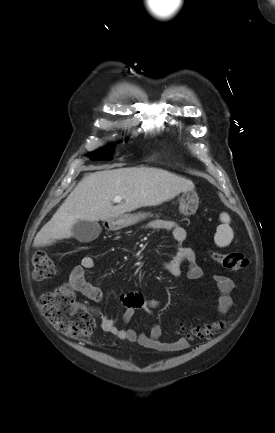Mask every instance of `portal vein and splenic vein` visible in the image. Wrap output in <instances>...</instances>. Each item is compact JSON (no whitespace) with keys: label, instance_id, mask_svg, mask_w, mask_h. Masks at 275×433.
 <instances>
[{"label":"portal vein and splenic vein","instance_id":"obj_1","mask_svg":"<svg viewBox=\"0 0 275 433\" xmlns=\"http://www.w3.org/2000/svg\"><path fill=\"white\" fill-rule=\"evenodd\" d=\"M122 197L121 196H115L113 199H112V201L114 202V203H120L121 201H122Z\"/></svg>","mask_w":275,"mask_h":433}]
</instances>
